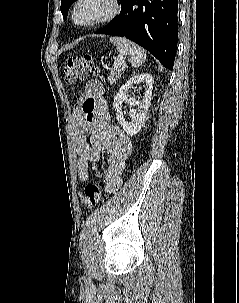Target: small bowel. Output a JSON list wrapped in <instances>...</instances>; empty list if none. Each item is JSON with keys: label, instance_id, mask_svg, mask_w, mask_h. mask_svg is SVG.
<instances>
[{"label": "small bowel", "instance_id": "obj_1", "mask_svg": "<svg viewBox=\"0 0 239 303\" xmlns=\"http://www.w3.org/2000/svg\"><path fill=\"white\" fill-rule=\"evenodd\" d=\"M103 85L98 80L86 84L84 94L75 111L76 148L78 178L86 182L89 178V163L99 159L102 152L108 153L104 191L113 193L122 185V174L133 145L130 137L113 123L103 100ZM91 120L90 125L82 119ZM89 134V139L86 135Z\"/></svg>", "mask_w": 239, "mask_h": 303}]
</instances>
